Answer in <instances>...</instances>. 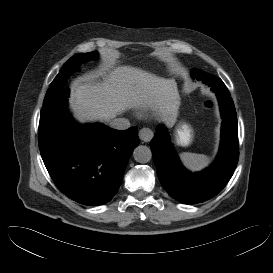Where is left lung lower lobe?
<instances>
[{
	"instance_id": "0a47b994",
	"label": "left lung lower lobe",
	"mask_w": 273,
	"mask_h": 273,
	"mask_svg": "<svg viewBox=\"0 0 273 273\" xmlns=\"http://www.w3.org/2000/svg\"><path fill=\"white\" fill-rule=\"evenodd\" d=\"M195 79L217 95L223 119L219 153L213 165L198 173L187 171L179 161L163 125L156 127L150 147L157 175L166 192L180 203L197 204L216 196L228 183L238 163V121L230 93L220 78L194 69Z\"/></svg>"
}]
</instances>
